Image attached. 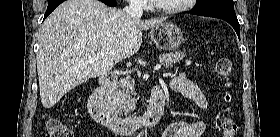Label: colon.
I'll return each instance as SVG.
<instances>
[{
  "mask_svg": "<svg viewBox=\"0 0 280 137\" xmlns=\"http://www.w3.org/2000/svg\"><path fill=\"white\" fill-rule=\"evenodd\" d=\"M215 71L218 76L225 80L227 87L232 85V63L229 58L225 56L219 57L215 65ZM227 99H230V95H228ZM226 113L227 116L222 123L223 136L235 137L237 124L233 118V109L228 106ZM46 129L49 137H73L72 130L56 117H51L47 120Z\"/></svg>",
  "mask_w": 280,
  "mask_h": 137,
  "instance_id": "obj_1",
  "label": "colon"
}]
</instances>
